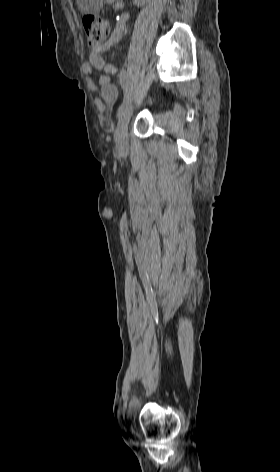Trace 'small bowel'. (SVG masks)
Segmentation results:
<instances>
[{"mask_svg":"<svg viewBox=\"0 0 280 472\" xmlns=\"http://www.w3.org/2000/svg\"><path fill=\"white\" fill-rule=\"evenodd\" d=\"M125 28V21H120L108 42L101 46L100 49L92 50L88 61L83 64V70L86 74H91L93 70H103L104 72L97 80L88 78V85L94 93V103L102 112L108 106L114 104L118 96V86L111 80V76L119 73V67L115 63H106L100 51L106 50L119 42Z\"/></svg>","mask_w":280,"mask_h":472,"instance_id":"c3829d8e","label":"small bowel"}]
</instances>
